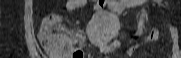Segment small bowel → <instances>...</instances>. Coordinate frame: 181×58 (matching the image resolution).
I'll return each mask as SVG.
<instances>
[{"mask_svg":"<svg viewBox=\"0 0 181 58\" xmlns=\"http://www.w3.org/2000/svg\"><path fill=\"white\" fill-rule=\"evenodd\" d=\"M89 2L92 3L93 7L96 10L100 9L101 7H103L106 4L104 1H101V0H92V1H88V0H68L66 2V8L69 11H74V10H77L79 8H82V7L86 6ZM109 7L112 10L117 9V5H109ZM169 31H170L171 38H172V41H173L170 58H181V49L179 48V45H178L177 31L172 26H169ZM73 34L77 38L83 40L82 33L75 32ZM158 38H159V33L157 31H152L139 43L157 41ZM118 47H119V43L115 41V42H112L109 45L100 46L99 52H100L101 55L106 56L107 54L113 53L114 51H116L118 49Z\"/></svg>","mask_w":181,"mask_h":58,"instance_id":"c3829d8e","label":"small bowel"}]
</instances>
